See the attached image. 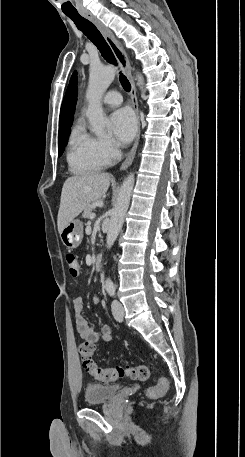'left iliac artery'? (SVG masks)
Instances as JSON below:
<instances>
[{"label":"left iliac artery","mask_w":245,"mask_h":457,"mask_svg":"<svg viewBox=\"0 0 245 457\" xmlns=\"http://www.w3.org/2000/svg\"><path fill=\"white\" fill-rule=\"evenodd\" d=\"M106 290H107V292H108V294H109L110 296H114V295H115V290H116V288H115L114 285H108V286H106Z\"/></svg>","instance_id":"1"}]
</instances>
